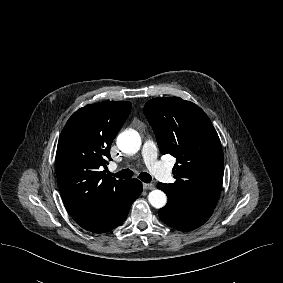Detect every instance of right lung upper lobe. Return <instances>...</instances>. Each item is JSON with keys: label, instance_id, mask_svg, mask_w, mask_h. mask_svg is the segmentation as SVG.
<instances>
[{"label": "right lung upper lobe", "instance_id": "cb5924a9", "mask_svg": "<svg viewBox=\"0 0 283 283\" xmlns=\"http://www.w3.org/2000/svg\"><path fill=\"white\" fill-rule=\"evenodd\" d=\"M131 103L86 105L67 121L59 137L56 170L63 202L83 228L107 216L129 189V181L100 171L111 160L113 139L129 116Z\"/></svg>", "mask_w": 283, "mask_h": 283}]
</instances>
